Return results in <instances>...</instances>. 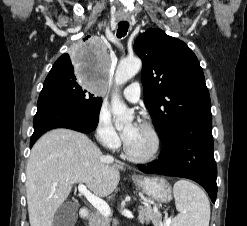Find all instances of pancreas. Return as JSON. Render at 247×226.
I'll use <instances>...</instances> for the list:
<instances>
[{
  "label": "pancreas",
  "mask_w": 247,
  "mask_h": 226,
  "mask_svg": "<svg viewBox=\"0 0 247 226\" xmlns=\"http://www.w3.org/2000/svg\"><path fill=\"white\" fill-rule=\"evenodd\" d=\"M161 217L158 213L154 212L153 210L140 207L139 209V221L141 223H149L152 221L156 223L160 221ZM111 218L109 216L102 215L99 211L92 213L89 218V226H110Z\"/></svg>",
  "instance_id": "cf45deb5"
}]
</instances>
